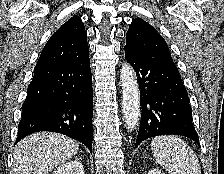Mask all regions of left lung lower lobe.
I'll list each match as a JSON object with an SVG mask.
<instances>
[{"instance_id": "left-lung-lower-lobe-1", "label": "left lung lower lobe", "mask_w": 224, "mask_h": 174, "mask_svg": "<svg viewBox=\"0 0 224 174\" xmlns=\"http://www.w3.org/2000/svg\"><path fill=\"white\" fill-rule=\"evenodd\" d=\"M138 76L142 115L136 144L159 135H182L199 144L192 109L175 63L162 56H143L125 49Z\"/></svg>"}]
</instances>
